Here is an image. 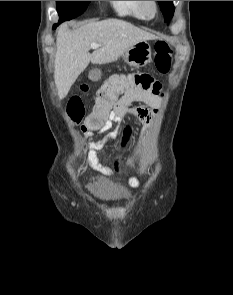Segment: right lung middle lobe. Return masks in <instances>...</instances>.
<instances>
[{"mask_svg":"<svg viewBox=\"0 0 233 295\" xmlns=\"http://www.w3.org/2000/svg\"><path fill=\"white\" fill-rule=\"evenodd\" d=\"M90 1H56L59 22L70 20L82 14Z\"/></svg>","mask_w":233,"mask_h":295,"instance_id":"right-lung-middle-lobe-1","label":"right lung middle lobe"}]
</instances>
